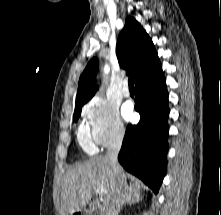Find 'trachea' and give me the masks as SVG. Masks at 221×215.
<instances>
[{"label":"trachea","instance_id":"3493384b","mask_svg":"<svg viewBox=\"0 0 221 215\" xmlns=\"http://www.w3.org/2000/svg\"><path fill=\"white\" fill-rule=\"evenodd\" d=\"M128 85H129V88H134V81H133V78H132V77H130V78L128 79Z\"/></svg>","mask_w":221,"mask_h":215}]
</instances>
